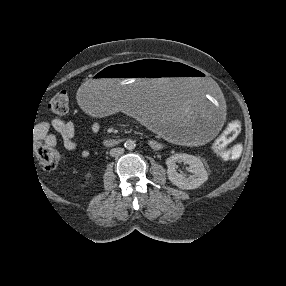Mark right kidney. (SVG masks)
Instances as JSON below:
<instances>
[{"label": "right kidney", "mask_w": 286, "mask_h": 286, "mask_svg": "<svg viewBox=\"0 0 286 286\" xmlns=\"http://www.w3.org/2000/svg\"><path fill=\"white\" fill-rule=\"evenodd\" d=\"M85 177L86 179H89L91 177V172H88Z\"/></svg>", "instance_id": "1"}]
</instances>
